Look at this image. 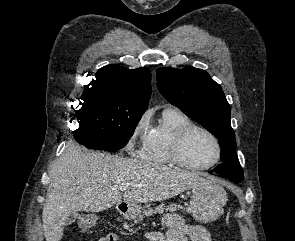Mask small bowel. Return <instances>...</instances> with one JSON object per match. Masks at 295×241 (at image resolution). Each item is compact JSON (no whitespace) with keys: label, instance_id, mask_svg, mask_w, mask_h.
Here are the masks:
<instances>
[{"label":"small bowel","instance_id":"c3829d8e","mask_svg":"<svg viewBox=\"0 0 295 241\" xmlns=\"http://www.w3.org/2000/svg\"><path fill=\"white\" fill-rule=\"evenodd\" d=\"M163 225L167 231L165 234L159 232H148L146 238L149 241H211L210 234L202 226L186 224L177 214H166L163 217ZM100 241H118L114 233H110Z\"/></svg>","mask_w":295,"mask_h":241}]
</instances>
